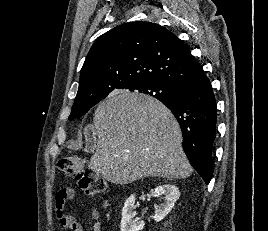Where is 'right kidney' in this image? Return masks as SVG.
Returning a JSON list of instances; mask_svg holds the SVG:
<instances>
[{
	"mask_svg": "<svg viewBox=\"0 0 268 231\" xmlns=\"http://www.w3.org/2000/svg\"><path fill=\"white\" fill-rule=\"evenodd\" d=\"M151 194L154 197L163 196L164 202H162L155 210L154 220L159 222L163 220L167 214L174 207L175 202L180 196L179 189L172 184H164L157 186L151 190ZM135 195L132 194L124 203L122 208V219L120 224L121 231H139L143 230L144 222L139 218H135Z\"/></svg>",
	"mask_w": 268,
	"mask_h": 231,
	"instance_id": "ca27d5eb",
	"label": "right kidney"
}]
</instances>
